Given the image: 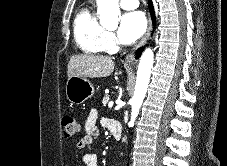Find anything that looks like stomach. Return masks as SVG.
<instances>
[{
    "label": "stomach",
    "mask_w": 227,
    "mask_h": 166,
    "mask_svg": "<svg viewBox=\"0 0 227 166\" xmlns=\"http://www.w3.org/2000/svg\"><path fill=\"white\" fill-rule=\"evenodd\" d=\"M94 87L86 78L73 75L66 82V97L76 105L84 103L94 95Z\"/></svg>",
    "instance_id": "stomach-1"
}]
</instances>
